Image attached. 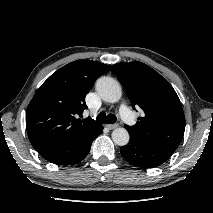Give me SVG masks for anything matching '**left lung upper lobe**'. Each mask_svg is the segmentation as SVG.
I'll return each mask as SVG.
<instances>
[{
  "mask_svg": "<svg viewBox=\"0 0 213 213\" xmlns=\"http://www.w3.org/2000/svg\"><path fill=\"white\" fill-rule=\"evenodd\" d=\"M112 67L133 105L144 110V116L134 126L125 128L149 145L174 152L184 135L185 116L173 87L142 62L117 63Z\"/></svg>",
  "mask_w": 213,
  "mask_h": 213,
  "instance_id": "5c2ea615",
  "label": "left lung upper lobe"
}]
</instances>
